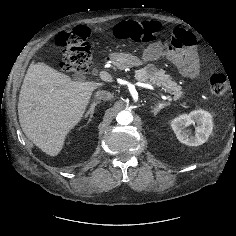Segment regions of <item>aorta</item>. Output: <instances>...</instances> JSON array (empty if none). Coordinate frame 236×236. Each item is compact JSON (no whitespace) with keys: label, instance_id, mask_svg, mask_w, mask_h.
I'll use <instances>...</instances> for the list:
<instances>
[{"label":"aorta","instance_id":"1","mask_svg":"<svg viewBox=\"0 0 236 236\" xmlns=\"http://www.w3.org/2000/svg\"><path fill=\"white\" fill-rule=\"evenodd\" d=\"M116 120L121 125H128L133 121V115L128 110H123L118 113Z\"/></svg>","mask_w":236,"mask_h":236}]
</instances>
